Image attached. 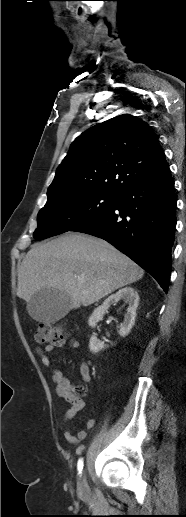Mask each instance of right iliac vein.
Here are the masks:
<instances>
[{"label": "right iliac vein", "instance_id": "1", "mask_svg": "<svg viewBox=\"0 0 186 517\" xmlns=\"http://www.w3.org/2000/svg\"><path fill=\"white\" fill-rule=\"evenodd\" d=\"M78 491L80 493H85L86 492V488H87V483H86V479H85V476L82 474L79 479H78Z\"/></svg>", "mask_w": 186, "mask_h": 517}]
</instances>
